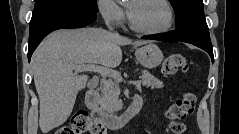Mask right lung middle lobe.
<instances>
[{
    "instance_id": "dd1d6c3e",
    "label": "right lung middle lobe",
    "mask_w": 239,
    "mask_h": 134,
    "mask_svg": "<svg viewBox=\"0 0 239 134\" xmlns=\"http://www.w3.org/2000/svg\"><path fill=\"white\" fill-rule=\"evenodd\" d=\"M60 8H77L88 12H98L96 0H36L30 23Z\"/></svg>"
}]
</instances>
